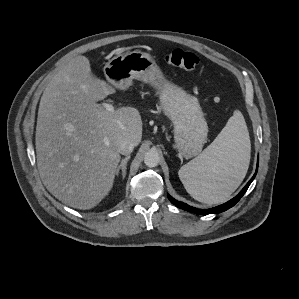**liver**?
I'll list each match as a JSON object with an SVG mask.
<instances>
[{
    "label": "liver",
    "mask_w": 299,
    "mask_h": 299,
    "mask_svg": "<svg viewBox=\"0 0 299 299\" xmlns=\"http://www.w3.org/2000/svg\"><path fill=\"white\" fill-rule=\"evenodd\" d=\"M85 56L71 59L45 88L36 126L37 167L46 189L72 208L98 205L112 189L122 140L142 139L140 112H108L98 101L113 93L92 77Z\"/></svg>",
    "instance_id": "obj_1"
}]
</instances>
